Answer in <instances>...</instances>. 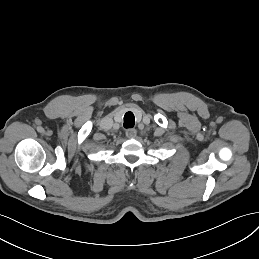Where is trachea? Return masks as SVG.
I'll list each match as a JSON object with an SVG mask.
<instances>
[{"label": "trachea", "instance_id": "3493384b", "mask_svg": "<svg viewBox=\"0 0 259 259\" xmlns=\"http://www.w3.org/2000/svg\"><path fill=\"white\" fill-rule=\"evenodd\" d=\"M124 127L125 128H132L135 125V117L132 112H127L124 115Z\"/></svg>", "mask_w": 259, "mask_h": 259}]
</instances>
